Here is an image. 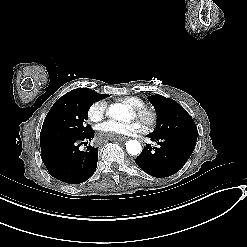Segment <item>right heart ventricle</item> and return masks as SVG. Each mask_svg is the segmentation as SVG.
Masks as SVG:
<instances>
[{
  "label": "right heart ventricle",
  "instance_id": "right-heart-ventricle-1",
  "mask_svg": "<svg viewBox=\"0 0 247 247\" xmlns=\"http://www.w3.org/2000/svg\"><path fill=\"white\" fill-rule=\"evenodd\" d=\"M119 101L130 109L133 116H134L133 113L134 110H137L142 106H145V102L138 97H123Z\"/></svg>",
  "mask_w": 247,
  "mask_h": 247
}]
</instances>
